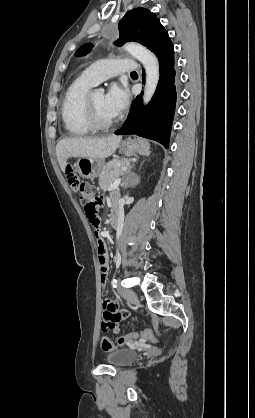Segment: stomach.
Returning <instances> with one entry per match:
<instances>
[{
    "instance_id": "0dacf381",
    "label": "stomach",
    "mask_w": 255,
    "mask_h": 418,
    "mask_svg": "<svg viewBox=\"0 0 255 418\" xmlns=\"http://www.w3.org/2000/svg\"><path fill=\"white\" fill-rule=\"evenodd\" d=\"M120 151L126 156L135 153L145 155L149 152V144L143 139H127L119 145ZM104 159L101 158H80L76 164V171L84 179H94L104 168Z\"/></svg>"
}]
</instances>
